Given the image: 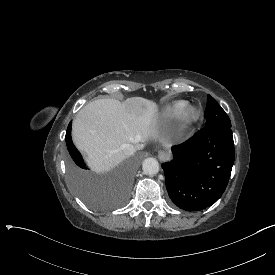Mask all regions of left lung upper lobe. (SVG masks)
Here are the masks:
<instances>
[{"mask_svg":"<svg viewBox=\"0 0 275 275\" xmlns=\"http://www.w3.org/2000/svg\"><path fill=\"white\" fill-rule=\"evenodd\" d=\"M204 117L206 119V126L227 125L231 126V122L227 114L220 107V105L208 95L207 107Z\"/></svg>","mask_w":275,"mask_h":275,"instance_id":"1","label":"left lung upper lobe"}]
</instances>
